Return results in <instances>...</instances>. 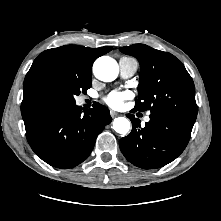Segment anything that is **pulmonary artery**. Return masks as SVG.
Returning <instances> with one entry per match:
<instances>
[{
	"label": "pulmonary artery",
	"mask_w": 221,
	"mask_h": 221,
	"mask_svg": "<svg viewBox=\"0 0 221 221\" xmlns=\"http://www.w3.org/2000/svg\"><path fill=\"white\" fill-rule=\"evenodd\" d=\"M119 69L122 78H130L136 73L138 62L134 58L121 57L119 59ZM145 120L149 121V116H146Z\"/></svg>",
	"instance_id": "1"
}]
</instances>
